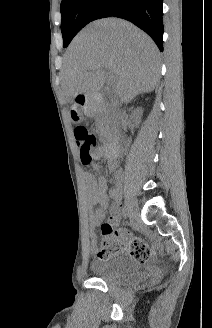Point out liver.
Here are the masks:
<instances>
[{"label":"liver","mask_w":212,"mask_h":328,"mask_svg":"<svg viewBox=\"0 0 212 328\" xmlns=\"http://www.w3.org/2000/svg\"><path fill=\"white\" fill-rule=\"evenodd\" d=\"M159 54L152 39L139 28L117 18L91 22L69 45L63 67L66 96H91L112 73L111 85L122 102L154 90L159 79Z\"/></svg>","instance_id":"obj_1"}]
</instances>
